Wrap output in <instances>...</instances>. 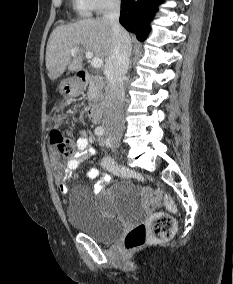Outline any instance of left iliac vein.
Instances as JSON below:
<instances>
[{
  "label": "left iliac vein",
  "mask_w": 233,
  "mask_h": 284,
  "mask_svg": "<svg viewBox=\"0 0 233 284\" xmlns=\"http://www.w3.org/2000/svg\"><path fill=\"white\" fill-rule=\"evenodd\" d=\"M108 142L113 148H117L119 146V141L116 138L108 139Z\"/></svg>",
  "instance_id": "obj_1"
}]
</instances>
